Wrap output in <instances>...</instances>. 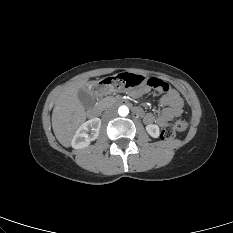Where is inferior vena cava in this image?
I'll use <instances>...</instances> for the list:
<instances>
[{
	"instance_id": "inferior-vena-cava-1",
	"label": "inferior vena cava",
	"mask_w": 233,
	"mask_h": 233,
	"mask_svg": "<svg viewBox=\"0 0 233 233\" xmlns=\"http://www.w3.org/2000/svg\"><path fill=\"white\" fill-rule=\"evenodd\" d=\"M117 113L114 109L107 110L103 113L102 118L104 120H110L116 117Z\"/></svg>"
}]
</instances>
